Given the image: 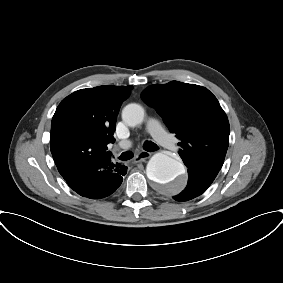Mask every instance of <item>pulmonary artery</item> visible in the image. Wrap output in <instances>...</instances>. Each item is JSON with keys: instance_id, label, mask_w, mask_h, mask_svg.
<instances>
[{"instance_id": "1", "label": "pulmonary artery", "mask_w": 283, "mask_h": 283, "mask_svg": "<svg viewBox=\"0 0 283 283\" xmlns=\"http://www.w3.org/2000/svg\"><path fill=\"white\" fill-rule=\"evenodd\" d=\"M147 130L161 146L173 151L178 149L177 142L167 134L158 119L150 118L147 123ZM131 145V140H125L119 143L120 148H128Z\"/></svg>"}]
</instances>
